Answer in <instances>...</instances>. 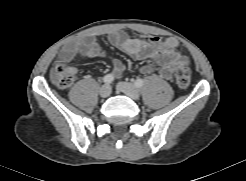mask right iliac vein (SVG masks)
Instances as JSON below:
<instances>
[{"mask_svg":"<svg viewBox=\"0 0 246 181\" xmlns=\"http://www.w3.org/2000/svg\"><path fill=\"white\" fill-rule=\"evenodd\" d=\"M110 93H111V87L108 84L103 85L99 90V94L103 98L108 97Z\"/></svg>","mask_w":246,"mask_h":181,"instance_id":"1","label":"right iliac vein"}]
</instances>
